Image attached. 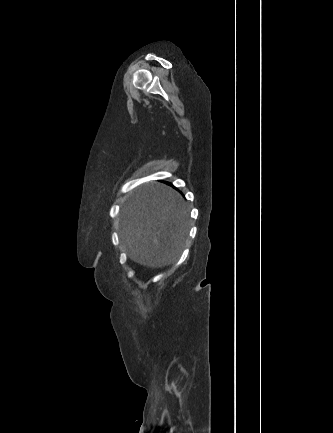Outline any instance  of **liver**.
I'll return each mask as SVG.
<instances>
[{
	"label": "liver",
	"mask_w": 333,
	"mask_h": 433,
	"mask_svg": "<svg viewBox=\"0 0 333 433\" xmlns=\"http://www.w3.org/2000/svg\"><path fill=\"white\" fill-rule=\"evenodd\" d=\"M188 225V212L180 194L152 182L139 187L123 206L119 236L131 260L161 268L177 261Z\"/></svg>",
	"instance_id": "obj_1"
}]
</instances>
